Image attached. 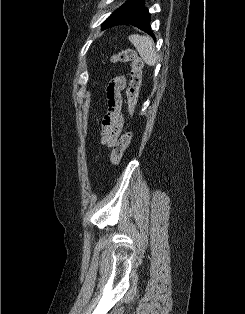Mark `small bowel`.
<instances>
[{"instance_id":"c3829d8e","label":"small bowel","mask_w":245,"mask_h":314,"mask_svg":"<svg viewBox=\"0 0 245 314\" xmlns=\"http://www.w3.org/2000/svg\"><path fill=\"white\" fill-rule=\"evenodd\" d=\"M124 87L125 78L123 76H117L108 84L106 89L108 110L102 119L100 141L107 146L114 145L122 132L123 116L121 91Z\"/></svg>"}]
</instances>
